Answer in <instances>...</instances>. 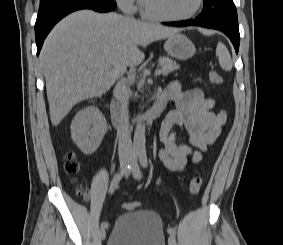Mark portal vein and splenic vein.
Segmentation results:
<instances>
[{"instance_id":"18ae733b","label":"portal vein and splenic vein","mask_w":283,"mask_h":245,"mask_svg":"<svg viewBox=\"0 0 283 245\" xmlns=\"http://www.w3.org/2000/svg\"><path fill=\"white\" fill-rule=\"evenodd\" d=\"M161 74V70H156L155 71V75H160Z\"/></svg>"}]
</instances>
